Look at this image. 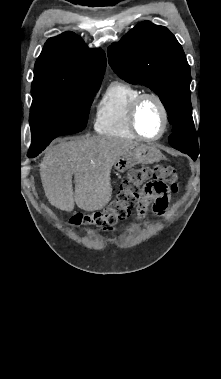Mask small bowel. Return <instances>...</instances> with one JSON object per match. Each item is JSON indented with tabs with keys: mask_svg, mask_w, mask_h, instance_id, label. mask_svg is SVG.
Wrapping results in <instances>:
<instances>
[{
	"mask_svg": "<svg viewBox=\"0 0 221 379\" xmlns=\"http://www.w3.org/2000/svg\"><path fill=\"white\" fill-rule=\"evenodd\" d=\"M169 200V193L166 192L165 194L157 195V194H147L142 197L140 200L138 206H137V214L139 217H144L148 211L149 205L153 202L154 203V211L157 214H162L167 208ZM136 227L135 223H131L128 227V231H133Z\"/></svg>",
	"mask_w": 221,
	"mask_h": 379,
	"instance_id": "1",
	"label": "small bowel"
}]
</instances>
